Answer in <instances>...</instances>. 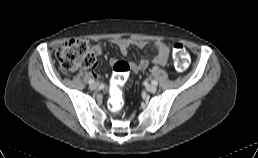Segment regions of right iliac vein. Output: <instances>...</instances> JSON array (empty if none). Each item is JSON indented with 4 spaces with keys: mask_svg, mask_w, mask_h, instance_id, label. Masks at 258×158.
<instances>
[{
    "mask_svg": "<svg viewBox=\"0 0 258 158\" xmlns=\"http://www.w3.org/2000/svg\"><path fill=\"white\" fill-rule=\"evenodd\" d=\"M97 88H98V83H93V84L90 85L91 90H95Z\"/></svg>",
    "mask_w": 258,
    "mask_h": 158,
    "instance_id": "right-iliac-vein-1",
    "label": "right iliac vein"
}]
</instances>
